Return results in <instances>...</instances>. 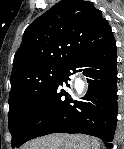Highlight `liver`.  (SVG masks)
I'll use <instances>...</instances> for the list:
<instances>
[{"instance_id":"obj_1","label":"liver","mask_w":124,"mask_h":149,"mask_svg":"<svg viewBox=\"0 0 124 149\" xmlns=\"http://www.w3.org/2000/svg\"><path fill=\"white\" fill-rule=\"evenodd\" d=\"M23 149H100V143L87 136L56 134L35 139Z\"/></svg>"}]
</instances>
